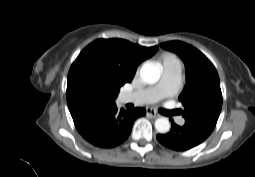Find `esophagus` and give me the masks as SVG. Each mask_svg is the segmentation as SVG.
<instances>
[{
    "label": "esophagus",
    "instance_id": "1",
    "mask_svg": "<svg viewBox=\"0 0 255 177\" xmlns=\"http://www.w3.org/2000/svg\"><path fill=\"white\" fill-rule=\"evenodd\" d=\"M146 113L154 118H159L161 116L159 113H157L154 109L151 108L146 109Z\"/></svg>",
    "mask_w": 255,
    "mask_h": 177
}]
</instances>
